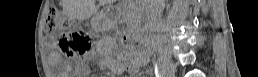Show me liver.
Masks as SVG:
<instances>
[{"instance_id":"6515ba94","label":"liver","mask_w":258,"mask_h":77,"mask_svg":"<svg viewBox=\"0 0 258 77\" xmlns=\"http://www.w3.org/2000/svg\"><path fill=\"white\" fill-rule=\"evenodd\" d=\"M112 2L113 0H99V5L96 6L95 0H63V11L80 19H87L98 11L100 5Z\"/></svg>"}]
</instances>
